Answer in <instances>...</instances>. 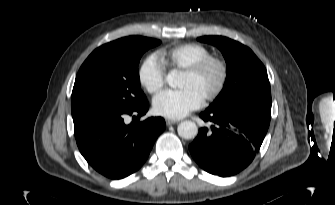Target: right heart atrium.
I'll use <instances>...</instances> for the list:
<instances>
[{
    "instance_id": "right-heart-atrium-1",
    "label": "right heart atrium",
    "mask_w": 335,
    "mask_h": 205,
    "mask_svg": "<svg viewBox=\"0 0 335 205\" xmlns=\"http://www.w3.org/2000/svg\"><path fill=\"white\" fill-rule=\"evenodd\" d=\"M138 78L140 84L149 92L157 93L160 91L166 81V69L156 54H151L142 62Z\"/></svg>"
}]
</instances>
